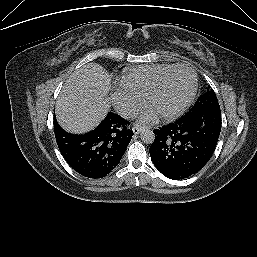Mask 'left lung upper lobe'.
Masks as SVG:
<instances>
[{
	"instance_id": "5c2ea615",
	"label": "left lung upper lobe",
	"mask_w": 257,
	"mask_h": 257,
	"mask_svg": "<svg viewBox=\"0 0 257 257\" xmlns=\"http://www.w3.org/2000/svg\"><path fill=\"white\" fill-rule=\"evenodd\" d=\"M206 111H219L220 106L215 92L207 88V90L197 99L192 108L187 112L188 115H196Z\"/></svg>"
}]
</instances>
